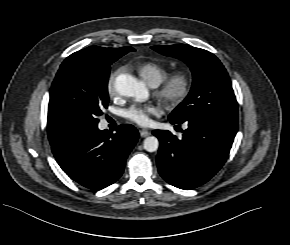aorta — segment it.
Returning a JSON list of instances; mask_svg holds the SVG:
<instances>
[{
	"label": "aorta",
	"instance_id": "762f6f07",
	"mask_svg": "<svg viewBox=\"0 0 290 245\" xmlns=\"http://www.w3.org/2000/svg\"><path fill=\"white\" fill-rule=\"evenodd\" d=\"M115 88L120 95L137 100L146 99L149 95L145 84L129 74L119 75L115 81ZM143 145L146 151L155 152L158 150L159 141L155 136H150L144 139Z\"/></svg>",
	"mask_w": 290,
	"mask_h": 245
}]
</instances>
